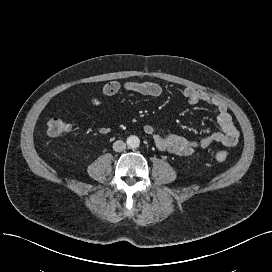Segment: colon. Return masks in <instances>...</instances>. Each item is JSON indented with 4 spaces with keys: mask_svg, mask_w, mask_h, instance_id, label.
Here are the masks:
<instances>
[{
    "mask_svg": "<svg viewBox=\"0 0 272 272\" xmlns=\"http://www.w3.org/2000/svg\"><path fill=\"white\" fill-rule=\"evenodd\" d=\"M70 128L64 120L51 117L47 120V134L51 137H58L65 134ZM215 159L219 162H225L228 159V154L225 151H217L215 153Z\"/></svg>",
    "mask_w": 272,
    "mask_h": 272,
    "instance_id": "1",
    "label": "colon"
}]
</instances>
